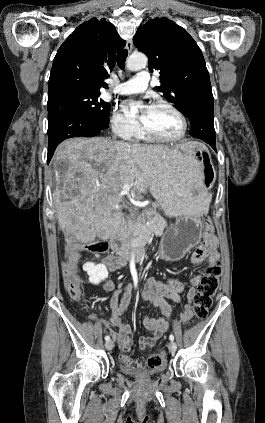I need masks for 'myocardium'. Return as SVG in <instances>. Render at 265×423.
<instances>
[{
    "mask_svg": "<svg viewBox=\"0 0 265 423\" xmlns=\"http://www.w3.org/2000/svg\"><path fill=\"white\" fill-rule=\"evenodd\" d=\"M150 107H152V108L165 107V108H168L169 110H171L180 119V121L182 123V130H181V132L178 136L169 138V137H164V136H161L159 134L154 133L153 131L149 130L143 123H141V130H142V133H143L144 136L148 137L151 140L163 142V143H176V142L181 141L186 136L187 131H188L187 118L183 114V112L181 110H179L175 105H173L170 102L160 100V101H156V102L152 103Z\"/></svg>",
    "mask_w": 265,
    "mask_h": 423,
    "instance_id": "obj_1",
    "label": "myocardium"
}]
</instances>
